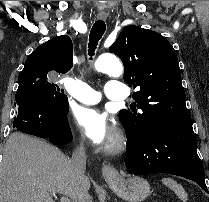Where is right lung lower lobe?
Returning <instances> with one entry per match:
<instances>
[{
	"label": "right lung lower lobe",
	"instance_id": "1",
	"mask_svg": "<svg viewBox=\"0 0 209 202\" xmlns=\"http://www.w3.org/2000/svg\"><path fill=\"white\" fill-rule=\"evenodd\" d=\"M19 106L13 127L20 132L49 138L57 145H65L72 140L67 112L58 111L50 104L36 98L32 90L18 87L15 95Z\"/></svg>",
	"mask_w": 209,
	"mask_h": 202
}]
</instances>
